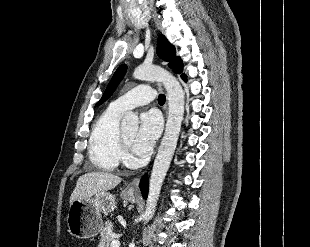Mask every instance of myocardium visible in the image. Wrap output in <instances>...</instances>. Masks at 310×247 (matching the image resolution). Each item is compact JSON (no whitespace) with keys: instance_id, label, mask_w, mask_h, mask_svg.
I'll list each match as a JSON object with an SVG mask.
<instances>
[{"instance_id":"obj_1","label":"myocardium","mask_w":310,"mask_h":247,"mask_svg":"<svg viewBox=\"0 0 310 247\" xmlns=\"http://www.w3.org/2000/svg\"><path fill=\"white\" fill-rule=\"evenodd\" d=\"M120 141L123 152L128 153L130 150V143L125 139L123 132L120 133Z\"/></svg>"}]
</instances>
